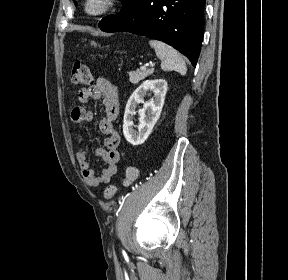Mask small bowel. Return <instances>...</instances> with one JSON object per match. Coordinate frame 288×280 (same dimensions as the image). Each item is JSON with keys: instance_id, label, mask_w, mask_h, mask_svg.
I'll return each instance as SVG.
<instances>
[{"instance_id": "obj_1", "label": "small bowel", "mask_w": 288, "mask_h": 280, "mask_svg": "<svg viewBox=\"0 0 288 280\" xmlns=\"http://www.w3.org/2000/svg\"><path fill=\"white\" fill-rule=\"evenodd\" d=\"M78 98L83 105L92 100H101L105 116L99 122V130L105 135L103 148L96 149V156L99 157L105 167L100 174H96L88 161L86 148L81 145L76 153L77 162L80 167L84 182L90 187L110 182L111 178L117 173L120 161V135L114 127V121L119 114V102L117 87L106 78L100 77L96 83L79 90ZM76 106L71 111L73 123H86L93 120L94 114L85 106Z\"/></svg>"}]
</instances>
